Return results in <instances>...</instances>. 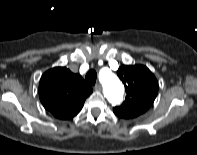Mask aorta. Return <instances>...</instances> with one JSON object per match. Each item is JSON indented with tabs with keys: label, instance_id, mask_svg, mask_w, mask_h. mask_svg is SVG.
I'll return each instance as SVG.
<instances>
[{
	"label": "aorta",
	"instance_id": "1",
	"mask_svg": "<svg viewBox=\"0 0 197 155\" xmlns=\"http://www.w3.org/2000/svg\"><path fill=\"white\" fill-rule=\"evenodd\" d=\"M100 78L108 101L113 105L119 104L123 99L124 87L118 77L108 71L101 74Z\"/></svg>",
	"mask_w": 197,
	"mask_h": 155
}]
</instances>
